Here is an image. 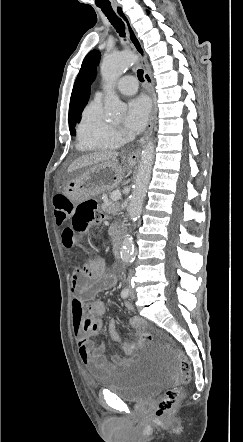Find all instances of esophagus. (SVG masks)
Instances as JSON below:
<instances>
[{"mask_svg": "<svg viewBox=\"0 0 243 442\" xmlns=\"http://www.w3.org/2000/svg\"><path fill=\"white\" fill-rule=\"evenodd\" d=\"M114 10H115L116 14L119 16V18L123 21L125 28H126L127 37L129 39L131 45L133 46L134 50L138 53V55L140 57L141 65H142L143 71H144V79L147 84L148 91H149V94L151 97V102H152L151 113H150V117H149L147 130L144 133L143 137L139 140L137 149L128 155V160L130 162H136L139 160L141 151H142L146 141L148 140L151 130L153 128V123H154V118H155V113H156V103H155L154 90H153V81H152L151 75L149 73L147 58H146V54H145L143 45H142L139 37L137 36L133 26L131 25L129 18L127 17L126 13L124 12V10L121 6H119V5L114 6Z\"/></svg>", "mask_w": 243, "mask_h": 442, "instance_id": "esophagus-1", "label": "esophagus"}]
</instances>
